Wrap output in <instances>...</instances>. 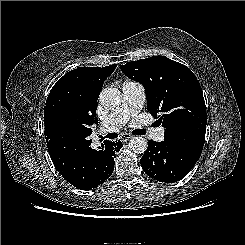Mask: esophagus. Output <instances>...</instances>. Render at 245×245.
<instances>
[{"mask_svg": "<svg viewBox=\"0 0 245 245\" xmlns=\"http://www.w3.org/2000/svg\"><path fill=\"white\" fill-rule=\"evenodd\" d=\"M133 136L128 134V133H124L120 136V139L124 142L129 141Z\"/></svg>", "mask_w": 245, "mask_h": 245, "instance_id": "1", "label": "esophagus"}]
</instances>
